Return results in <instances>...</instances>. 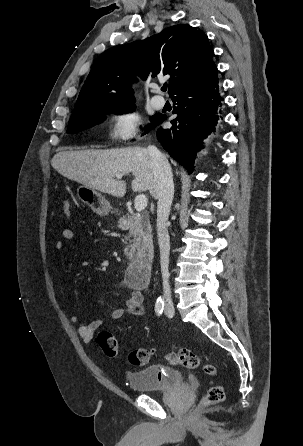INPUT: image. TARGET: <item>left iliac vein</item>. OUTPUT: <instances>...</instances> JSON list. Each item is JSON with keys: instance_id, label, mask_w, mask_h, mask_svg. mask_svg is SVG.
Returning a JSON list of instances; mask_svg holds the SVG:
<instances>
[{"instance_id": "left-iliac-vein-1", "label": "left iliac vein", "mask_w": 303, "mask_h": 446, "mask_svg": "<svg viewBox=\"0 0 303 446\" xmlns=\"http://www.w3.org/2000/svg\"><path fill=\"white\" fill-rule=\"evenodd\" d=\"M165 314H166L168 317H173V315H174V307H173L172 304H168V305L166 306V308H165Z\"/></svg>"}]
</instances>
